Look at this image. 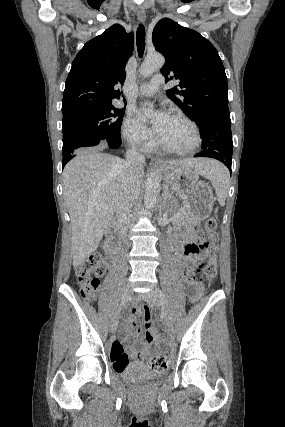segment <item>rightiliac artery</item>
<instances>
[{
  "label": "right iliac artery",
  "mask_w": 285,
  "mask_h": 427,
  "mask_svg": "<svg viewBox=\"0 0 285 427\" xmlns=\"http://www.w3.org/2000/svg\"><path fill=\"white\" fill-rule=\"evenodd\" d=\"M124 302H125V300H124V299H122V301H121V303H120V305H119V307H118V311H117V312H119V311L122 309V307H123V305H124Z\"/></svg>",
  "instance_id": "right-iliac-artery-1"
}]
</instances>
